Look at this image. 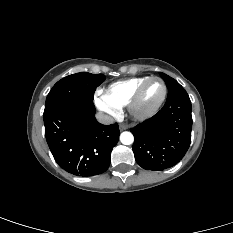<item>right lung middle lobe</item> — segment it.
I'll use <instances>...</instances> for the list:
<instances>
[{
  "label": "right lung middle lobe",
  "instance_id": "right-lung-middle-lobe-1",
  "mask_svg": "<svg viewBox=\"0 0 233 233\" xmlns=\"http://www.w3.org/2000/svg\"><path fill=\"white\" fill-rule=\"evenodd\" d=\"M104 80L105 76L103 74H90L87 72H80L62 78L49 92L44 112L76 99L93 101L96 88Z\"/></svg>",
  "mask_w": 233,
  "mask_h": 233
}]
</instances>
